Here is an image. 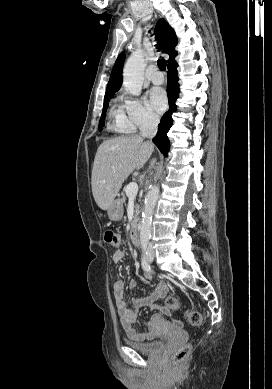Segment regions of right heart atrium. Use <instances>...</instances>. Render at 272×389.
Listing matches in <instances>:
<instances>
[{"label": "right heart atrium", "mask_w": 272, "mask_h": 389, "mask_svg": "<svg viewBox=\"0 0 272 389\" xmlns=\"http://www.w3.org/2000/svg\"><path fill=\"white\" fill-rule=\"evenodd\" d=\"M123 108L133 129H149L155 127L158 123V117L139 98L125 96L123 98Z\"/></svg>", "instance_id": "right-heart-atrium-1"}]
</instances>
